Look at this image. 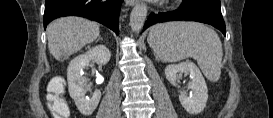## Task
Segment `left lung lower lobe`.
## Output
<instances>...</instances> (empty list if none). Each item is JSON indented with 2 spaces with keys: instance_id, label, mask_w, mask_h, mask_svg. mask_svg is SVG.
<instances>
[{
  "instance_id": "0a47b994",
  "label": "left lung lower lobe",
  "mask_w": 273,
  "mask_h": 118,
  "mask_svg": "<svg viewBox=\"0 0 273 118\" xmlns=\"http://www.w3.org/2000/svg\"><path fill=\"white\" fill-rule=\"evenodd\" d=\"M178 20L197 21L209 24L216 27L224 35H226V28L221 10H218L208 4L191 0H183L180 8L174 11L166 13L160 12L157 14L151 13L143 27V31L156 23Z\"/></svg>"
}]
</instances>
